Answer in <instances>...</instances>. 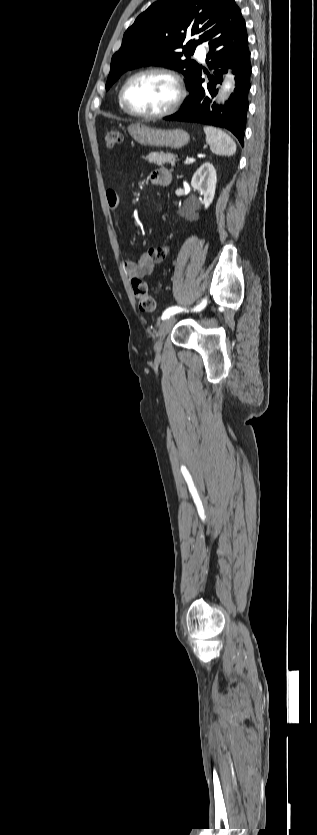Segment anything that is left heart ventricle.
Here are the masks:
<instances>
[{"instance_id":"b2bd125f","label":"left heart ventricle","mask_w":317,"mask_h":835,"mask_svg":"<svg viewBox=\"0 0 317 835\" xmlns=\"http://www.w3.org/2000/svg\"><path fill=\"white\" fill-rule=\"evenodd\" d=\"M173 81L160 74H147L133 80L126 96L133 109L143 113H157L166 109L176 97Z\"/></svg>"}]
</instances>
